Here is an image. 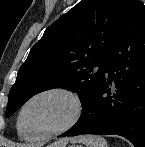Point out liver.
I'll return each instance as SVG.
<instances>
[{
  "label": "liver",
  "mask_w": 145,
  "mask_h": 147,
  "mask_svg": "<svg viewBox=\"0 0 145 147\" xmlns=\"http://www.w3.org/2000/svg\"><path fill=\"white\" fill-rule=\"evenodd\" d=\"M72 141H74V139H72ZM67 142H68L67 139L66 140H61L59 142H56V143L50 145L49 147H65Z\"/></svg>",
  "instance_id": "liver-1"
}]
</instances>
